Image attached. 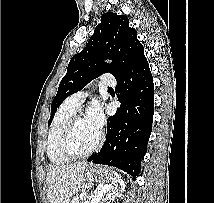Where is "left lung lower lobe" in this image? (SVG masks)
Returning a JSON list of instances; mask_svg holds the SVG:
<instances>
[{
  "mask_svg": "<svg viewBox=\"0 0 214 203\" xmlns=\"http://www.w3.org/2000/svg\"><path fill=\"white\" fill-rule=\"evenodd\" d=\"M116 80L115 91L121 107L108 118L101 150L87 161L117 167L135 178L147 151L153 122L154 85L144 49Z\"/></svg>",
  "mask_w": 214,
  "mask_h": 203,
  "instance_id": "obj_1",
  "label": "left lung lower lobe"
}]
</instances>
